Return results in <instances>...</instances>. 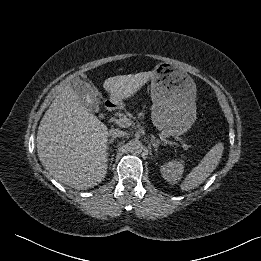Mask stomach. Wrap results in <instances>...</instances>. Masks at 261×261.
I'll list each match as a JSON object with an SVG mask.
<instances>
[{
	"label": "stomach",
	"instance_id": "0dacf381",
	"mask_svg": "<svg viewBox=\"0 0 261 261\" xmlns=\"http://www.w3.org/2000/svg\"><path fill=\"white\" fill-rule=\"evenodd\" d=\"M149 89L153 125L166 137L186 133L196 120V84L191 76L163 63L154 70Z\"/></svg>",
	"mask_w": 261,
	"mask_h": 261
}]
</instances>
